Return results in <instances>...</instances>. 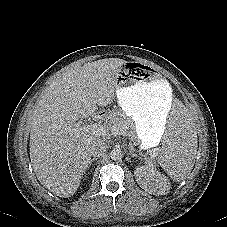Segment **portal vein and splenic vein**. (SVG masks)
I'll use <instances>...</instances> for the list:
<instances>
[{"label":"portal vein and splenic vein","instance_id":"obj_1","mask_svg":"<svg viewBox=\"0 0 227 227\" xmlns=\"http://www.w3.org/2000/svg\"><path fill=\"white\" fill-rule=\"evenodd\" d=\"M72 130L77 137L84 133H93L101 136L110 135L106 127L99 123H87L83 126L76 125ZM111 135H118V133L112 132Z\"/></svg>","mask_w":227,"mask_h":227}]
</instances>
